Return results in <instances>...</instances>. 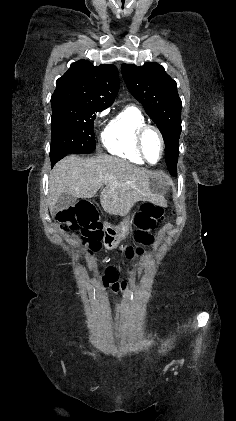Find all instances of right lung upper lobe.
Segmentation results:
<instances>
[{"mask_svg": "<svg viewBox=\"0 0 236 421\" xmlns=\"http://www.w3.org/2000/svg\"><path fill=\"white\" fill-rule=\"evenodd\" d=\"M119 75L112 64L93 66L81 60L56 81L52 98L92 102L109 107L119 90Z\"/></svg>", "mask_w": 236, "mask_h": 421, "instance_id": "1", "label": "right lung upper lobe"}]
</instances>
